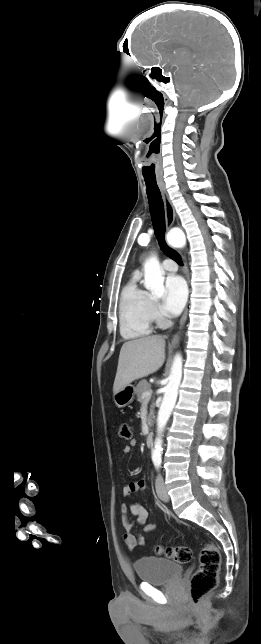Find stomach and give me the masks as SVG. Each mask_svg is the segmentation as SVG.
<instances>
[{
    "label": "stomach",
    "mask_w": 261,
    "mask_h": 644,
    "mask_svg": "<svg viewBox=\"0 0 261 644\" xmlns=\"http://www.w3.org/2000/svg\"><path fill=\"white\" fill-rule=\"evenodd\" d=\"M135 394L136 388L133 385L129 384L119 392L114 394L113 400L119 408H123L133 402Z\"/></svg>",
    "instance_id": "0dacf381"
}]
</instances>
